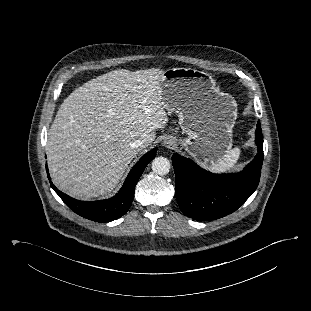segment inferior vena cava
Returning a JSON list of instances; mask_svg holds the SVG:
<instances>
[{
	"label": "inferior vena cava",
	"mask_w": 311,
	"mask_h": 311,
	"mask_svg": "<svg viewBox=\"0 0 311 311\" xmlns=\"http://www.w3.org/2000/svg\"><path fill=\"white\" fill-rule=\"evenodd\" d=\"M146 140L145 139H138L130 143V146L134 149L140 148L145 144Z\"/></svg>",
	"instance_id": "1"
}]
</instances>
